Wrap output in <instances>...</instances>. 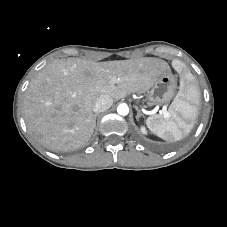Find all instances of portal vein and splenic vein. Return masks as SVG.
I'll list each match as a JSON object with an SVG mask.
<instances>
[{
    "instance_id": "18ae733b",
    "label": "portal vein and splenic vein",
    "mask_w": 227,
    "mask_h": 227,
    "mask_svg": "<svg viewBox=\"0 0 227 227\" xmlns=\"http://www.w3.org/2000/svg\"><path fill=\"white\" fill-rule=\"evenodd\" d=\"M113 83H114V80L112 81ZM162 113H163V115L164 116H168L169 115V113H168V111H167V108L166 107H163V109H162Z\"/></svg>"
}]
</instances>
